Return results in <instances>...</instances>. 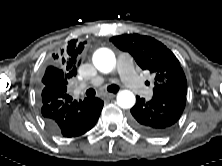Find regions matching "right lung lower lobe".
<instances>
[{"label":"right lung lower lobe","mask_w":222,"mask_h":166,"mask_svg":"<svg viewBox=\"0 0 222 166\" xmlns=\"http://www.w3.org/2000/svg\"><path fill=\"white\" fill-rule=\"evenodd\" d=\"M40 100L47 127L54 134L67 138L90 130L96 124L104 104L99 98L72 101L67 93L49 86L43 88Z\"/></svg>","instance_id":"98d812e1"}]
</instances>
